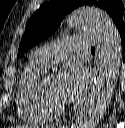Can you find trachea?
I'll list each match as a JSON object with an SVG mask.
<instances>
[{"instance_id": "obj_1", "label": "trachea", "mask_w": 125, "mask_h": 128, "mask_svg": "<svg viewBox=\"0 0 125 128\" xmlns=\"http://www.w3.org/2000/svg\"><path fill=\"white\" fill-rule=\"evenodd\" d=\"M91 51H95V48H94V47H92V48H91Z\"/></svg>"}]
</instances>
